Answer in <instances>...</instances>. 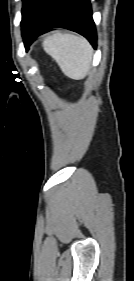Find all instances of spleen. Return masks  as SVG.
I'll use <instances>...</instances> for the list:
<instances>
[{"label": "spleen", "mask_w": 134, "mask_h": 281, "mask_svg": "<svg viewBox=\"0 0 134 281\" xmlns=\"http://www.w3.org/2000/svg\"><path fill=\"white\" fill-rule=\"evenodd\" d=\"M43 48L67 77L80 80L89 73L93 50L85 38L57 32L45 38Z\"/></svg>", "instance_id": "1"}]
</instances>
